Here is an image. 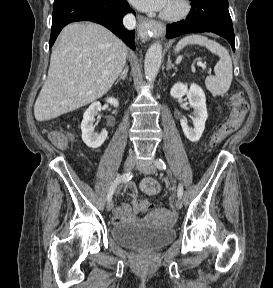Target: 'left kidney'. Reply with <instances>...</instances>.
Listing matches in <instances>:
<instances>
[{"label":"left kidney","instance_id":"5707ae66","mask_svg":"<svg viewBox=\"0 0 273 288\" xmlns=\"http://www.w3.org/2000/svg\"><path fill=\"white\" fill-rule=\"evenodd\" d=\"M170 94L173 98H181L187 95L189 104L194 109V127H189L187 121L181 119V127L186 138L191 142H197L201 138L205 129V123L208 117L206 108L205 93L200 86L195 83L190 85L176 83L171 88Z\"/></svg>","mask_w":273,"mask_h":288}]
</instances>
